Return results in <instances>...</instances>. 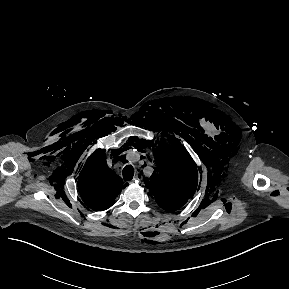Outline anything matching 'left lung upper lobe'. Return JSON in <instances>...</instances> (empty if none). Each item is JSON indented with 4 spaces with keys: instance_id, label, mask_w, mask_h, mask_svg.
Here are the masks:
<instances>
[{
    "instance_id": "obj_1",
    "label": "left lung upper lobe",
    "mask_w": 289,
    "mask_h": 289,
    "mask_svg": "<svg viewBox=\"0 0 289 289\" xmlns=\"http://www.w3.org/2000/svg\"><path fill=\"white\" fill-rule=\"evenodd\" d=\"M156 168L146 178L145 185L157 202L166 211L181 208L191 198L198 185L196 164L189 153L175 139L161 142L154 149Z\"/></svg>"
}]
</instances>
